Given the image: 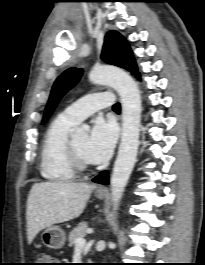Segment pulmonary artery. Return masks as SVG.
I'll use <instances>...</instances> for the list:
<instances>
[{
  "label": "pulmonary artery",
  "mask_w": 205,
  "mask_h": 265,
  "mask_svg": "<svg viewBox=\"0 0 205 265\" xmlns=\"http://www.w3.org/2000/svg\"><path fill=\"white\" fill-rule=\"evenodd\" d=\"M114 98L110 92H98L86 95L68 106L63 115L69 120L79 123L96 111L113 106Z\"/></svg>",
  "instance_id": "obj_1"
}]
</instances>
